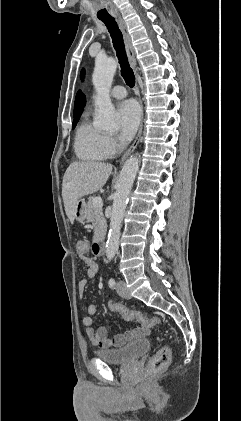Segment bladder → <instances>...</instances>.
I'll list each match as a JSON object with an SVG mask.
<instances>
[{
  "instance_id": "obj_1",
  "label": "bladder",
  "mask_w": 241,
  "mask_h": 421,
  "mask_svg": "<svg viewBox=\"0 0 241 421\" xmlns=\"http://www.w3.org/2000/svg\"><path fill=\"white\" fill-rule=\"evenodd\" d=\"M149 349L148 339H138L118 349L98 350L95 356L106 363L123 366L134 362Z\"/></svg>"
}]
</instances>
